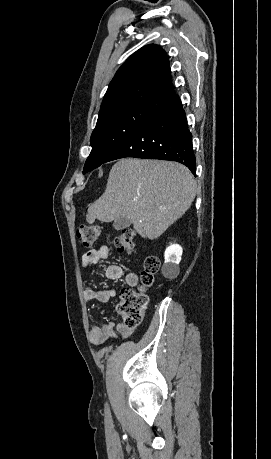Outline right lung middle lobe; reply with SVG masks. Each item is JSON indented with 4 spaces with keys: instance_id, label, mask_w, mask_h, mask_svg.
Masks as SVG:
<instances>
[{
    "instance_id": "dd1d6c3e",
    "label": "right lung middle lobe",
    "mask_w": 271,
    "mask_h": 459,
    "mask_svg": "<svg viewBox=\"0 0 271 459\" xmlns=\"http://www.w3.org/2000/svg\"><path fill=\"white\" fill-rule=\"evenodd\" d=\"M156 112L135 108L99 117L91 135L92 151L84 171L89 172L105 163L110 154Z\"/></svg>"
}]
</instances>
